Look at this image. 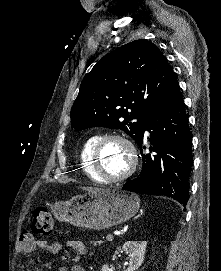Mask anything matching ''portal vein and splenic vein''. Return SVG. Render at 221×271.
Masks as SVG:
<instances>
[{
    "mask_svg": "<svg viewBox=\"0 0 221 271\" xmlns=\"http://www.w3.org/2000/svg\"><path fill=\"white\" fill-rule=\"evenodd\" d=\"M105 240H108V241H110V240H114V235H105Z\"/></svg>",
    "mask_w": 221,
    "mask_h": 271,
    "instance_id": "1",
    "label": "portal vein and splenic vein"
}]
</instances>
